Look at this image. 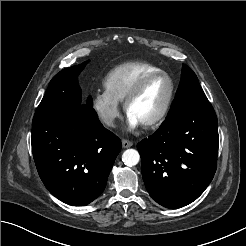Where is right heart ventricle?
I'll list each match as a JSON object with an SVG mask.
<instances>
[{
	"mask_svg": "<svg viewBox=\"0 0 246 246\" xmlns=\"http://www.w3.org/2000/svg\"><path fill=\"white\" fill-rule=\"evenodd\" d=\"M161 69L148 62H126L114 67L104 79L106 92L123 102L137 82L145 75Z\"/></svg>",
	"mask_w": 246,
	"mask_h": 246,
	"instance_id": "right-heart-ventricle-1",
	"label": "right heart ventricle"
}]
</instances>
